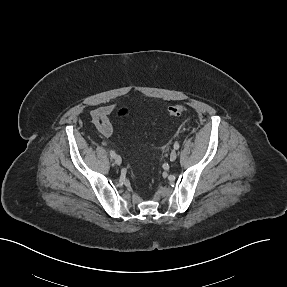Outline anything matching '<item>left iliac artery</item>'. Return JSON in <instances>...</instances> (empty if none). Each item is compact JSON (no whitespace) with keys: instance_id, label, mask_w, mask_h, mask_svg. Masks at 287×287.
<instances>
[{"instance_id":"obj_1","label":"left iliac artery","mask_w":287,"mask_h":287,"mask_svg":"<svg viewBox=\"0 0 287 287\" xmlns=\"http://www.w3.org/2000/svg\"><path fill=\"white\" fill-rule=\"evenodd\" d=\"M179 147H180V146H179V143L175 142V143H174V149L178 150Z\"/></svg>"}]
</instances>
